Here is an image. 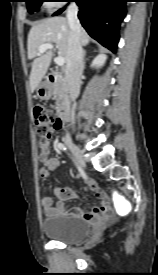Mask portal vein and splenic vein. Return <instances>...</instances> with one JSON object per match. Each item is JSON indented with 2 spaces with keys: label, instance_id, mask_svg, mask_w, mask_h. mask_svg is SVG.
I'll return each instance as SVG.
<instances>
[{
  "label": "portal vein and splenic vein",
  "instance_id": "obj_1",
  "mask_svg": "<svg viewBox=\"0 0 158 275\" xmlns=\"http://www.w3.org/2000/svg\"><path fill=\"white\" fill-rule=\"evenodd\" d=\"M54 47L52 44H43L39 47L38 49V55H41L43 54L45 51L47 50H52ZM55 63L58 65V66H63L64 63H65V59L63 57H56L55 58Z\"/></svg>",
  "mask_w": 158,
  "mask_h": 275
}]
</instances>
